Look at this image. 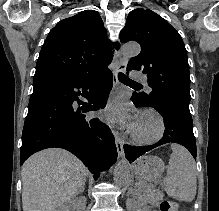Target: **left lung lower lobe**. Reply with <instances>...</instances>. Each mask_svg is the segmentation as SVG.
<instances>
[{
    "label": "left lung lower lobe",
    "mask_w": 219,
    "mask_h": 211,
    "mask_svg": "<svg viewBox=\"0 0 219 211\" xmlns=\"http://www.w3.org/2000/svg\"><path fill=\"white\" fill-rule=\"evenodd\" d=\"M131 100L137 106H148L156 109L164 119L165 131L162 139L153 145L143 147L125 145V155L130 162L136 160L151 149L166 143L181 144L196 158L197 151L191 115L176 109L161 110L152 103L142 99L137 93H133Z\"/></svg>",
    "instance_id": "left-lung-lower-lobe-1"
}]
</instances>
